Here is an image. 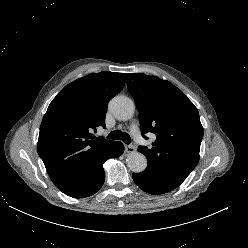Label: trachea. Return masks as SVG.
<instances>
[{
    "instance_id": "3493384b",
    "label": "trachea",
    "mask_w": 248,
    "mask_h": 248,
    "mask_svg": "<svg viewBox=\"0 0 248 248\" xmlns=\"http://www.w3.org/2000/svg\"><path fill=\"white\" fill-rule=\"evenodd\" d=\"M108 139H113V140H122L125 144H130L131 143V138L130 135L126 132H122L120 130H114L112 131L108 136Z\"/></svg>"
}]
</instances>
